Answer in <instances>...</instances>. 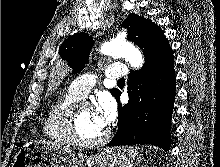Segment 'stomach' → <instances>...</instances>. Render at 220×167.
Masks as SVG:
<instances>
[{"instance_id": "1", "label": "stomach", "mask_w": 220, "mask_h": 167, "mask_svg": "<svg viewBox=\"0 0 220 167\" xmlns=\"http://www.w3.org/2000/svg\"><path fill=\"white\" fill-rule=\"evenodd\" d=\"M141 160L136 148H111L85 156L68 148L40 142L24 145L12 167H134Z\"/></svg>"}]
</instances>
